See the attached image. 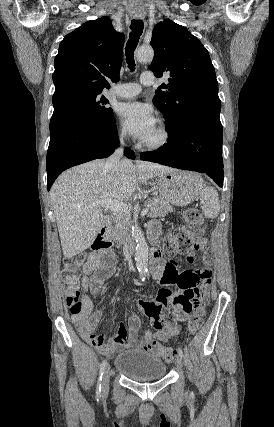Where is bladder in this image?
<instances>
[{
  "label": "bladder",
  "mask_w": 274,
  "mask_h": 427,
  "mask_svg": "<svg viewBox=\"0 0 274 427\" xmlns=\"http://www.w3.org/2000/svg\"><path fill=\"white\" fill-rule=\"evenodd\" d=\"M113 363L117 374L131 379L165 377L167 372L165 360L145 349H131L119 353L115 356Z\"/></svg>",
  "instance_id": "bladder-1"
}]
</instances>
